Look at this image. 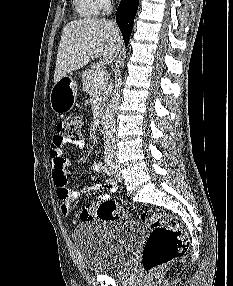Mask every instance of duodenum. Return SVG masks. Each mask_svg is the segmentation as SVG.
<instances>
[{
	"label": "duodenum",
	"mask_w": 233,
	"mask_h": 286,
	"mask_svg": "<svg viewBox=\"0 0 233 286\" xmlns=\"http://www.w3.org/2000/svg\"><path fill=\"white\" fill-rule=\"evenodd\" d=\"M97 128L100 132L104 133L106 129L105 116L100 113L97 118Z\"/></svg>",
	"instance_id": "duodenum-1"
}]
</instances>
